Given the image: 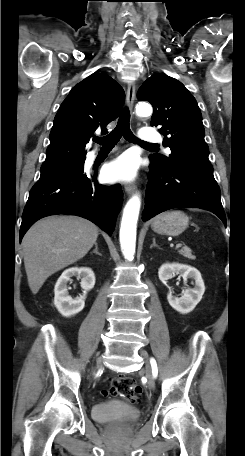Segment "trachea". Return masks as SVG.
Masks as SVG:
<instances>
[{
	"label": "trachea",
	"instance_id": "obj_1",
	"mask_svg": "<svg viewBox=\"0 0 245 456\" xmlns=\"http://www.w3.org/2000/svg\"><path fill=\"white\" fill-rule=\"evenodd\" d=\"M129 121L130 113L127 109H124L114 130L107 136L95 137L93 139L94 142L102 145V147H113L119 142L121 137H124L129 142L138 143L144 146H154V144L145 143L138 140L130 129Z\"/></svg>",
	"mask_w": 245,
	"mask_h": 456
}]
</instances>
